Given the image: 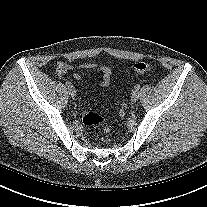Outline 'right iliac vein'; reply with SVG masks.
Masks as SVG:
<instances>
[{
	"label": "right iliac vein",
	"mask_w": 207,
	"mask_h": 207,
	"mask_svg": "<svg viewBox=\"0 0 207 207\" xmlns=\"http://www.w3.org/2000/svg\"><path fill=\"white\" fill-rule=\"evenodd\" d=\"M68 92H69V95H70L71 97H75V95H76V90H75V88H74L73 86H71V87L68 88Z\"/></svg>",
	"instance_id": "obj_1"
}]
</instances>
